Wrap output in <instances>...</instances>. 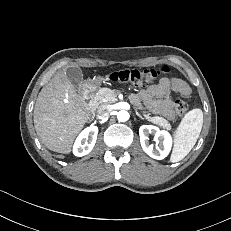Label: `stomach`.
<instances>
[{
  "mask_svg": "<svg viewBox=\"0 0 231 231\" xmlns=\"http://www.w3.org/2000/svg\"><path fill=\"white\" fill-rule=\"evenodd\" d=\"M105 79L101 76H96L92 79H88L86 81V84L91 87V88H94V87H97L98 85H100Z\"/></svg>",
  "mask_w": 231,
  "mask_h": 231,
  "instance_id": "obj_1",
  "label": "stomach"
}]
</instances>
